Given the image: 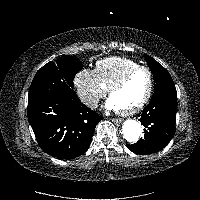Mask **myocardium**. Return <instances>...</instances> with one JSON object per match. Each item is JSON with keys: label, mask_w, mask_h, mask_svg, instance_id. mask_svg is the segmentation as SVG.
I'll return each instance as SVG.
<instances>
[{"label": "myocardium", "mask_w": 200, "mask_h": 200, "mask_svg": "<svg viewBox=\"0 0 200 200\" xmlns=\"http://www.w3.org/2000/svg\"><path fill=\"white\" fill-rule=\"evenodd\" d=\"M139 71H145L148 74L149 84H148L147 92H146L145 96L143 97V99L139 103L134 105L133 107L118 110V112L121 115H124V116L133 115V114L139 112L140 110H142L148 104L149 100L151 99L153 89H154L153 73L148 67L137 66L135 68H132L128 72H126L122 77H120L116 82H114L108 89V94L111 97V95L116 90L120 89L130 79V77H132L135 73H137Z\"/></svg>", "instance_id": "1"}]
</instances>
